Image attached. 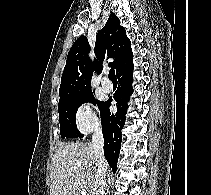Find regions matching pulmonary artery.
Instances as JSON below:
<instances>
[{"label":"pulmonary artery","instance_id":"pulmonary-artery-1","mask_svg":"<svg viewBox=\"0 0 211 195\" xmlns=\"http://www.w3.org/2000/svg\"><path fill=\"white\" fill-rule=\"evenodd\" d=\"M102 88L105 92H110L113 89L112 82L109 80L107 73L102 78Z\"/></svg>","mask_w":211,"mask_h":195}]
</instances>
